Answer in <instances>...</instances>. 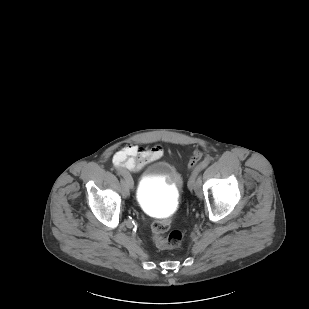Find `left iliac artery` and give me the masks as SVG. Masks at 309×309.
Instances as JSON below:
<instances>
[{
  "instance_id": "obj_1",
  "label": "left iliac artery",
  "mask_w": 309,
  "mask_h": 309,
  "mask_svg": "<svg viewBox=\"0 0 309 309\" xmlns=\"http://www.w3.org/2000/svg\"><path fill=\"white\" fill-rule=\"evenodd\" d=\"M209 164V159H205L203 162L200 163V165L197 167L196 171L193 173V175L191 176L190 180L193 181V184L197 185V186H200L201 187V184H202V181H201V178H197L196 180V177L198 175V173L203 170L207 165Z\"/></svg>"
}]
</instances>
